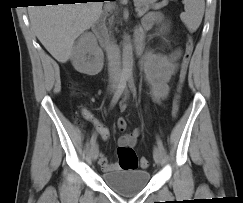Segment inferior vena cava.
<instances>
[{
  "instance_id": "inferior-vena-cava-1",
  "label": "inferior vena cava",
  "mask_w": 243,
  "mask_h": 203,
  "mask_svg": "<svg viewBox=\"0 0 243 203\" xmlns=\"http://www.w3.org/2000/svg\"><path fill=\"white\" fill-rule=\"evenodd\" d=\"M108 59L110 75L119 77L121 73L120 52L118 47L113 42H111L108 49Z\"/></svg>"
}]
</instances>
